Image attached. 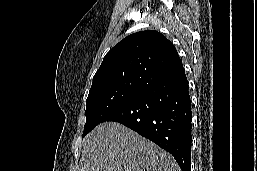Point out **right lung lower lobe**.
<instances>
[{"instance_id":"98d812e1","label":"right lung lower lobe","mask_w":257,"mask_h":171,"mask_svg":"<svg viewBox=\"0 0 257 171\" xmlns=\"http://www.w3.org/2000/svg\"><path fill=\"white\" fill-rule=\"evenodd\" d=\"M191 100L184 69L137 94L110 114L119 122L170 152L182 171L191 169Z\"/></svg>"}]
</instances>
